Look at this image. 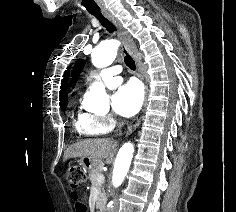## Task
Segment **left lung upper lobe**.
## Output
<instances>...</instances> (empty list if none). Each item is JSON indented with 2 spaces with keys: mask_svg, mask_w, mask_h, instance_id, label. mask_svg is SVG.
<instances>
[{
  "mask_svg": "<svg viewBox=\"0 0 236 212\" xmlns=\"http://www.w3.org/2000/svg\"><path fill=\"white\" fill-rule=\"evenodd\" d=\"M84 65H85V61L84 60H79L76 63V65L74 66L73 72H72V77H73L72 85H75V83H76V81H77V79L79 77V74L82 71Z\"/></svg>",
  "mask_w": 236,
  "mask_h": 212,
  "instance_id": "5c2ea615",
  "label": "left lung upper lobe"
}]
</instances>
